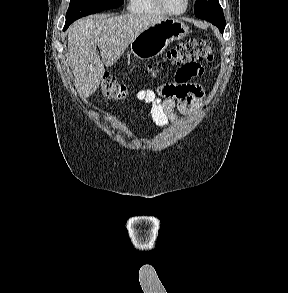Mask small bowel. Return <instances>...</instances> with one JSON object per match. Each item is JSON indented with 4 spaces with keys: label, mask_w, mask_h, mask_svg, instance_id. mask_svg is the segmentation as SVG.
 I'll return each mask as SVG.
<instances>
[{
    "label": "small bowel",
    "mask_w": 288,
    "mask_h": 293,
    "mask_svg": "<svg viewBox=\"0 0 288 293\" xmlns=\"http://www.w3.org/2000/svg\"><path fill=\"white\" fill-rule=\"evenodd\" d=\"M199 63L185 65L177 70L174 81L163 83L156 89H144L137 93V99L151 104V116L162 130L177 120L176 110L182 115H192L201 105V87L190 83L194 77L203 74Z\"/></svg>",
    "instance_id": "obj_1"
}]
</instances>
